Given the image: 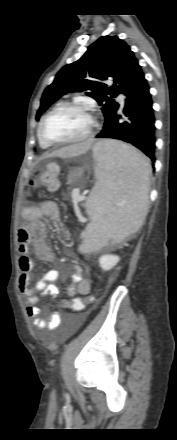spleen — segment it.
<instances>
[{
  "mask_svg": "<svg viewBox=\"0 0 177 440\" xmlns=\"http://www.w3.org/2000/svg\"><path fill=\"white\" fill-rule=\"evenodd\" d=\"M96 184L86 202L91 223L82 234V253L123 240L143 224L148 202L151 165L135 148L113 140L96 144Z\"/></svg>",
  "mask_w": 177,
  "mask_h": 440,
  "instance_id": "obj_1",
  "label": "spleen"
}]
</instances>
